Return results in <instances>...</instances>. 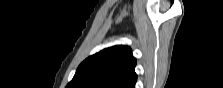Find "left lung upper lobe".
I'll return each instance as SVG.
<instances>
[{
  "mask_svg": "<svg viewBox=\"0 0 223 88\" xmlns=\"http://www.w3.org/2000/svg\"><path fill=\"white\" fill-rule=\"evenodd\" d=\"M135 65L130 47L106 48L84 60L66 88H135Z\"/></svg>",
  "mask_w": 223,
  "mask_h": 88,
  "instance_id": "obj_1",
  "label": "left lung upper lobe"
}]
</instances>
